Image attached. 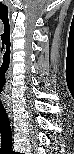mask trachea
Masks as SVG:
<instances>
[{
	"instance_id": "3493384b",
	"label": "trachea",
	"mask_w": 74,
	"mask_h": 154,
	"mask_svg": "<svg viewBox=\"0 0 74 154\" xmlns=\"http://www.w3.org/2000/svg\"><path fill=\"white\" fill-rule=\"evenodd\" d=\"M0 132L2 139L7 141L11 134V126L8 114L4 108L0 110Z\"/></svg>"
}]
</instances>
